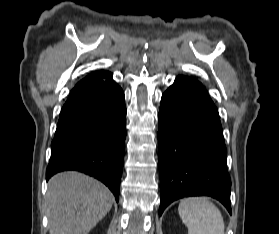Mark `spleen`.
<instances>
[{"label":"spleen","instance_id":"obj_1","mask_svg":"<svg viewBox=\"0 0 279 234\" xmlns=\"http://www.w3.org/2000/svg\"><path fill=\"white\" fill-rule=\"evenodd\" d=\"M178 211L188 228V234H225L220 210L204 197L182 200Z\"/></svg>","mask_w":279,"mask_h":234}]
</instances>
